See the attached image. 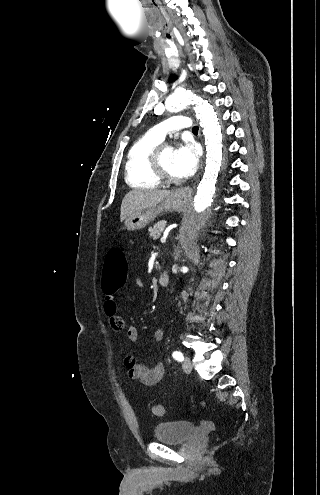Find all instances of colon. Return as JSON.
I'll use <instances>...</instances> for the list:
<instances>
[{
  "mask_svg": "<svg viewBox=\"0 0 320 495\" xmlns=\"http://www.w3.org/2000/svg\"><path fill=\"white\" fill-rule=\"evenodd\" d=\"M128 275V262L125 253L119 248L111 249L105 259L102 277V286L106 293L115 292L126 281ZM205 403L203 402V405ZM153 414L164 415V407L161 404H154Z\"/></svg>",
  "mask_w": 320,
  "mask_h": 495,
  "instance_id": "5ec220e1",
  "label": "colon"
}]
</instances>
